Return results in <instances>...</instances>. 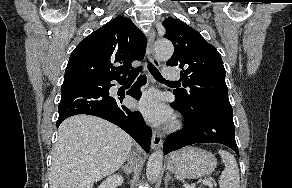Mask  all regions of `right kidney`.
<instances>
[{
	"label": "right kidney",
	"instance_id": "ca27d5eb",
	"mask_svg": "<svg viewBox=\"0 0 292 188\" xmlns=\"http://www.w3.org/2000/svg\"><path fill=\"white\" fill-rule=\"evenodd\" d=\"M123 182V178L120 175H112L104 180L98 188H116Z\"/></svg>",
	"mask_w": 292,
	"mask_h": 188
}]
</instances>
